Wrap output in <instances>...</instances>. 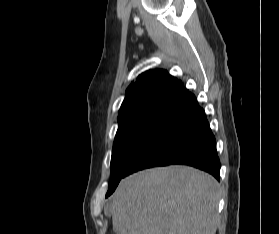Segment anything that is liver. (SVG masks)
Returning <instances> with one entry per match:
<instances>
[{
	"label": "liver",
	"instance_id": "liver-1",
	"mask_svg": "<svg viewBox=\"0 0 279 234\" xmlns=\"http://www.w3.org/2000/svg\"><path fill=\"white\" fill-rule=\"evenodd\" d=\"M219 184L188 166L140 171L123 179L105 207L116 234H215Z\"/></svg>",
	"mask_w": 279,
	"mask_h": 234
}]
</instances>
